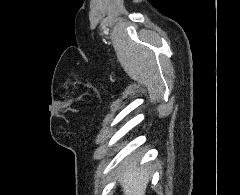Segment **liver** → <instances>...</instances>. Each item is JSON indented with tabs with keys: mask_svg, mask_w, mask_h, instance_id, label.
Instances as JSON below:
<instances>
[{
	"mask_svg": "<svg viewBox=\"0 0 240 195\" xmlns=\"http://www.w3.org/2000/svg\"><path fill=\"white\" fill-rule=\"evenodd\" d=\"M134 163H122L123 167L121 185L124 195H145L146 187L149 183V171L141 167H133Z\"/></svg>",
	"mask_w": 240,
	"mask_h": 195,
	"instance_id": "6515ba94",
	"label": "liver"
}]
</instances>
